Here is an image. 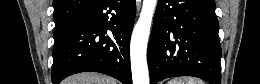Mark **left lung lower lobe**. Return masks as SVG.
<instances>
[{"label": "left lung lower lobe", "mask_w": 260, "mask_h": 84, "mask_svg": "<svg viewBox=\"0 0 260 84\" xmlns=\"http://www.w3.org/2000/svg\"><path fill=\"white\" fill-rule=\"evenodd\" d=\"M214 0H158L148 48L151 84L195 76L221 83Z\"/></svg>", "instance_id": "left-lung-lower-lobe-1"}]
</instances>
